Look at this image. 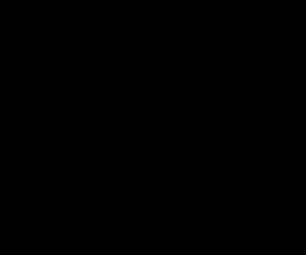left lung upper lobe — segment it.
Returning a JSON list of instances; mask_svg holds the SVG:
<instances>
[{
	"label": "left lung upper lobe",
	"instance_id": "left-lung-upper-lobe-1",
	"mask_svg": "<svg viewBox=\"0 0 306 255\" xmlns=\"http://www.w3.org/2000/svg\"><path fill=\"white\" fill-rule=\"evenodd\" d=\"M192 86L197 101L182 140L188 166L184 174L221 187L227 150L233 136V122L223 95L213 80L195 74L192 76Z\"/></svg>",
	"mask_w": 306,
	"mask_h": 255
}]
</instances>
